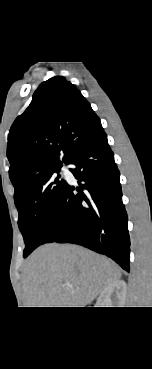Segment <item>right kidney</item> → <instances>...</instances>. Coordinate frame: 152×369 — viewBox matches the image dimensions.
<instances>
[{
	"label": "right kidney",
	"mask_w": 152,
	"mask_h": 369,
	"mask_svg": "<svg viewBox=\"0 0 152 369\" xmlns=\"http://www.w3.org/2000/svg\"><path fill=\"white\" fill-rule=\"evenodd\" d=\"M126 294V282L123 280H117L104 288L97 299V305L100 307H123L125 304Z\"/></svg>",
	"instance_id": "obj_1"
}]
</instances>
